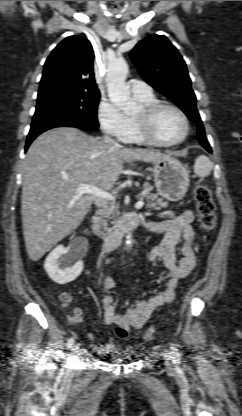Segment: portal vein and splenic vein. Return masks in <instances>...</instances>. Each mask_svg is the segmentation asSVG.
I'll list each match as a JSON object with an SVG mask.
<instances>
[{"instance_id":"portal-vein-and-splenic-vein-1","label":"portal vein and splenic vein","mask_w":242,"mask_h":416,"mask_svg":"<svg viewBox=\"0 0 242 416\" xmlns=\"http://www.w3.org/2000/svg\"><path fill=\"white\" fill-rule=\"evenodd\" d=\"M77 193L78 194H90L94 197H98V198H102L105 200H109V201H114V196L94 185H87V184H79L78 185V189H77ZM142 194H145V192H143ZM144 202L142 200H139L135 207L137 209H140L141 207H143Z\"/></svg>"}]
</instances>
